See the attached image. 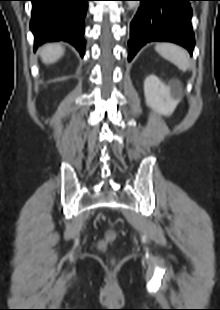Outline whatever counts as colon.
<instances>
[{"label": "colon", "mask_w": 220, "mask_h": 310, "mask_svg": "<svg viewBox=\"0 0 220 310\" xmlns=\"http://www.w3.org/2000/svg\"><path fill=\"white\" fill-rule=\"evenodd\" d=\"M116 238V233L113 231V230H109L106 235H105V238L102 239L100 242H99V248L101 250H104L106 249V247Z\"/></svg>", "instance_id": "1"}]
</instances>
